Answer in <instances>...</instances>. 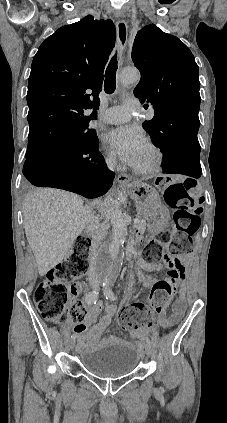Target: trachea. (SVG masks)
<instances>
[{"label":"trachea","instance_id":"obj_1","mask_svg":"<svg viewBox=\"0 0 227 423\" xmlns=\"http://www.w3.org/2000/svg\"><path fill=\"white\" fill-rule=\"evenodd\" d=\"M118 68V62L116 55H114L105 72V84L104 90L107 94L114 93L116 89V71Z\"/></svg>","mask_w":227,"mask_h":423}]
</instances>
